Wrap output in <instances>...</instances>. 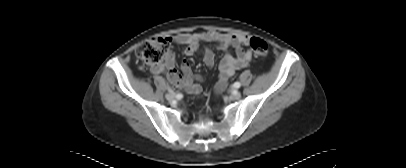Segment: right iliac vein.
<instances>
[{
    "instance_id": "obj_1",
    "label": "right iliac vein",
    "mask_w": 406,
    "mask_h": 168,
    "mask_svg": "<svg viewBox=\"0 0 406 168\" xmlns=\"http://www.w3.org/2000/svg\"><path fill=\"white\" fill-rule=\"evenodd\" d=\"M165 97H166V99H167L168 101H173V100H174V97H173L171 94H169V93H167Z\"/></svg>"
}]
</instances>
